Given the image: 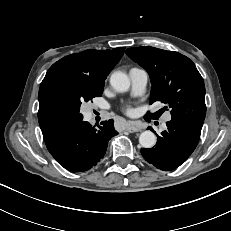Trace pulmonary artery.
I'll return each instance as SVG.
<instances>
[{"label": "pulmonary artery", "instance_id": "1", "mask_svg": "<svg viewBox=\"0 0 231 231\" xmlns=\"http://www.w3.org/2000/svg\"><path fill=\"white\" fill-rule=\"evenodd\" d=\"M129 76L132 84V94L133 95L142 94L148 82L147 71L142 68L134 67L130 69ZM170 119H171L170 113H166L163 116V125H162L163 128L165 127L166 122H168Z\"/></svg>", "mask_w": 231, "mask_h": 231}]
</instances>
